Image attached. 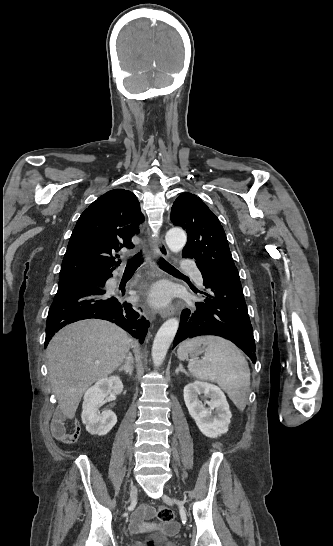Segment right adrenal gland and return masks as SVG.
<instances>
[{
  "instance_id": "obj_1",
  "label": "right adrenal gland",
  "mask_w": 333,
  "mask_h": 546,
  "mask_svg": "<svg viewBox=\"0 0 333 546\" xmlns=\"http://www.w3.org/2000/svg\"><path fill=\"white\" fill-rule=\"evenodd\" d=\"M118 370H119V372L124 371L125 374H128L129 376L132 375V372H133V356H132V354L130 352L127 354L125 364L123 366H121Z\"/></svg>"
}]
</instances>
